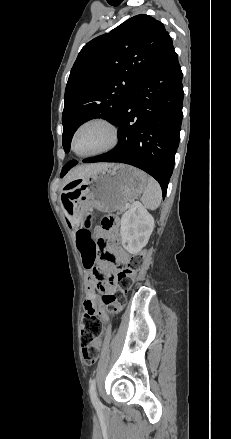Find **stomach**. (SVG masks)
Returning a JSON list of instances; mask_svg holds the SVG:
<instances>
[{
  "mask_svg": "<svg viewBox=\"0 0 231 439\" xmlns=\"http://www.w3.org/2000/svg\"><path fill=\"white\" fill-rule=\"evenodd\" d=\"M75 181L78 184L61 197L64 214L72 223L83 221L93 208L102 212L122 210L130 199L142 194L148 177L137 168L113 164Z\"/></svg>",
  "mask_w": 231,
  "mask_h": 439,
  "instance_id": "0dacf381",
  "label": "stomach"
}]
</instances>
